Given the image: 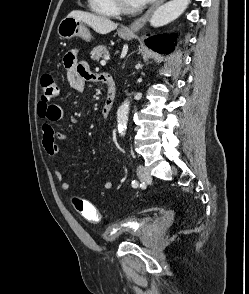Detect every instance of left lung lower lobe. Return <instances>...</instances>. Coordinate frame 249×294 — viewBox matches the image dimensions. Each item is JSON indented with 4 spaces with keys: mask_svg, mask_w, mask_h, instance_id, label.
I'll use <instances>...</instances> for the list:
<instances>
[{
    "mask_svg": "<svg viewBox=\"0 0 249 294\" xmlns=\"http://www.w3.org/2000/svg\"><path fill=\"white\" fill-rule=\"evenodd\" d=\"M146 45L159 53H170L173 50L171 39L167 36H156L148 38Z\"/></svg>",
    "mask_w": 249,
    "mask_h": 294,
    "instance_id": "1",
    "label": "left lung lower lobe"
}]
</instances>
